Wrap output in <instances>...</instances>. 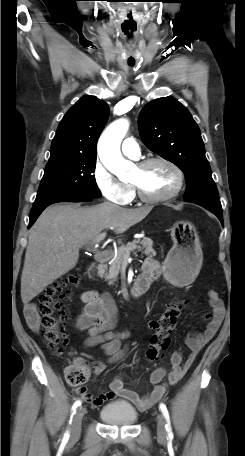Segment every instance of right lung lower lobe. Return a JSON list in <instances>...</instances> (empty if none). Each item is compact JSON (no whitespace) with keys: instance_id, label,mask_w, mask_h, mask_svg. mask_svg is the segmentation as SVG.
<instances>
[{"instance_id":"obj_1","label":"right lung lower lobe","mask_w":245,"mask_h":456,"mask_svg":"<svg viewBox=\"0 0 245 456\" xmlns=\"http://www.w3.org/2000/svg\"><path fill=\"white\" fill-rule=\"evenodd\" d=\"M91 200H92V197H77V198H68V199L56 201V202H53V203H57V202H81V201H91ZM53 203H48V204H45V205L33 207L32 210H31V213H30V217H29L30 218V224H29L28 228H30L34 224V222L36 221L38 216L42 213V211L46 207H48L49 205H51Z\"/></svg>"}]
</instances>
